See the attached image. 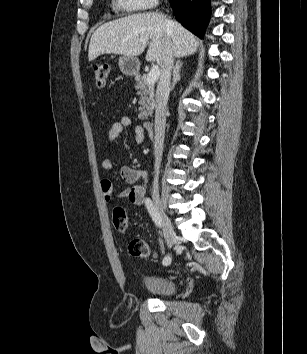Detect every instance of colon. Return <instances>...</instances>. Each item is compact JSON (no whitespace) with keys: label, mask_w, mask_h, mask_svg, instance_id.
I'll use <instances>...</instances> for the list:
<instances>
[{"label":"colon","mask_w":307,"mask_h":354,"mask_svg":"<svg viewBox=\"0 0 307 354\" xmlns=\"http://www.w3.org/2000/svg\"><path fill=\"white\" fill-rule=\"evenodd\" d=\"M92 72L97 85L99 87L105 86L110 72L109 65L105 63L95 64ZM128 223L129 215L127 209L124 207L114 208L113 224L115 228L123 231L128 227ZM129 252L143 259H154L156 257V253L151 245L141 239H134L129 243Z\"/></svg>","instance_id":"5ec220e1"}]
</instances>
